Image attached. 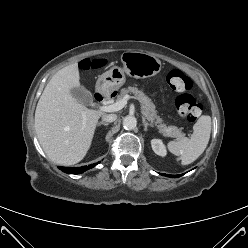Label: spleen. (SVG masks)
<instances>
[{
    "mask_svg": "<svg viewBox=\"0 0 248 248\" xmlns=\"http://www.w3.org/2000/svg\"><path fill=\"white\" fill-rule=\"evenodd\" d=\"M211 133V117L202 115L193 126L190 138L168 143L169 151L178 156L182 165L194 162L206 149Z\"/></svg>",
    "mask_w": 248,
    "mask_h": 248,
    "instance_id": "spleen-1",
    "label": "spleen"
}]
</instances>
